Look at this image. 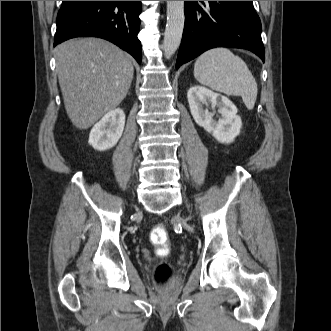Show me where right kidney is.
I'll return each instance as SVG.
<instances>
[{"mask_svg": "<svg viewBox=\"0 0 331 331\" xmlns=\"http://www.w3.org/2000/svg\"><path fill=\"white\" fill-rule=\"evenodd\" d=\"M125 114L122 109H114L103 116L90 131L89 144L98 151L114 147L122 136Z\"/></svg>", "mask_w": 331, "mask_h": 331, "instance_id": "1", "label": "right kidney"}]
</instances>
